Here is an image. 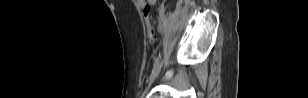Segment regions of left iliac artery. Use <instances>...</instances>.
<instances>
[{"label":"left iliac artery","instance_id":"44dca946","mask_svg":"<svg viewBox=\"0 0 308 98\" xmlns=\"http://www.w3.org/2000/svg\"><path fill=\"white\" fill-rule=\"evenodd\" d=\"M156 30L160 31V33L162 35H165L167 33V30L164 28V26L162 24H157L156 25ZM158 66H159V60L157 59L155 61V64H154V67H153V70H152V74H154L156 72Z\"/></svg>","mask_w":308,"mask_h":98}]
</instances>
